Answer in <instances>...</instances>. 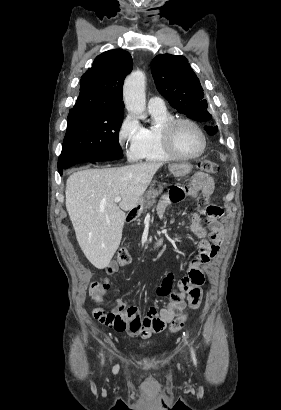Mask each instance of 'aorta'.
<instances>
[{
  "label": "aorta",
  "instance_id": "obj_1",
  "mask_svg": "<svg viewBox=\"0 0 281 410\" xmlns=\"http://www.w3.org/2000/svg\"><path fill=\"white\" fill-rule=\"evenodd\" d=\"M146 77L142 71L132 72L124 82L123 97L126 109L144 119L146 109Z\"/></svg>",
  "mask_w": 281,
  "mask_h": 410
}]
</instances>
